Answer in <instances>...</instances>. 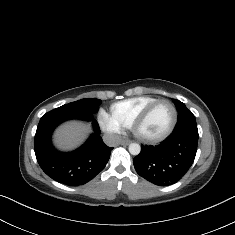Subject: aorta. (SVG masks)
<instances>
[{"instance_id": "obj_1", "label": "aorta", "mask_w": 235, "mask_h": 235, "mask_svg": "<svg viewBox=\"0 0 235 235\" xmlns=\"http://www.w3.org/2000/svg\"><path fill=\"white\" fill-rule=\"evenodd\" d=\"M129 152L132 155H138L141 151V146L137 143H131L129 144Z\"/></svg>"}]
</instances>
